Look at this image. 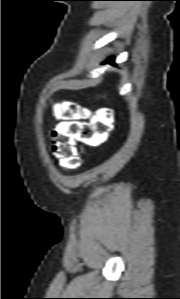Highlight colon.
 <instances>
[{
  "mask_svg": "<svg viewBox=\"0 0 180 299\" xmlns=\"http://www.w3.org/2000/svg\"><path fill=\"white\" fill-rule=\"evenodd\" d=\"M61 113L65 120L53 132L52 153L60 166L74 169L80 165L76 142L103 143L113 128V118L107 111L92 118L88 109L75 103H66Z\"/></svg>",
  "mask_w": 180,
  "mask_h": 299,
  "instance_id": "obj_1",
  "label": "colon"
}]
</instances>
